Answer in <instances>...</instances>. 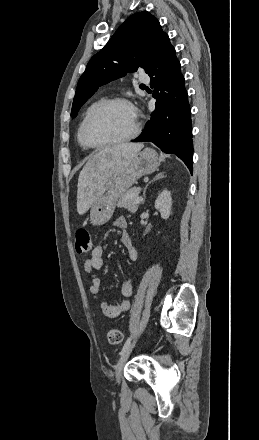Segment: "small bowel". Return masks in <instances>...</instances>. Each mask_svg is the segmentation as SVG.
<instances>
[{"instance_id": "c3829d8e", "label": "small bowel", "mask_w": 259, "mask_h": 440, "mask_svg": "<svg viewBox=\"0 0 259 440\" xmlns=\"http://www.w3.org/2000/svg\"><path fill=\"white\" fill-rule=\"evenodd\" d=\"M114 225L122 230L121 234V243L124 246L127 257L130 261L134 262L138 258V252L129 235L126 233L125 228L127 226V221L124 217H118L114 221ZM104 265L103 260V248L101 246H96L92 252L91 257L84 259L82 262V270L90 275L91 286H90V294L91 297L97 301L99 308L101 309L104 316L108 318H115L120 314L126 312L130 307V296L133 293L134 288V277L128 276L126 277L121 285V293L123 295V300L119 303L110 304L104 300L98 298V292L100 288L101 280L94 273V271L101 270Z\"/></svg>"}]
</instances>
